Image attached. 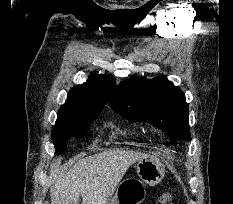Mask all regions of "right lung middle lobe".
<instances>
[{
	"label": "right lung middle lobe",
	"instance_id": "right-lung-middle-lobe-1",
	"mask_svg": "<svg viewBox=\"0 0 233 204\" xmlns=\"http://www.w3.org/2000/svg\"><path fill=\"white\" fill-rule=\"evenodd\" d=\"M97 116L98 113L68 122L61 125L59 128H53L52 141L55 146V154H60L65 151L67 147L68 137L70 135L76 137L85 135L91 122L96 119Z\"/></svg>",
	"mask_w": 233,
	"mask_h": 204
}]
</instances>
